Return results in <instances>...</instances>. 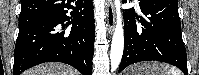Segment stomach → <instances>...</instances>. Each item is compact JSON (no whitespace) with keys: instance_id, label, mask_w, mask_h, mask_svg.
Instances as JSON below:
<instances>
[{"instance_id":"obj_1","label":"stomach","mask_w":199,"mask_h":75,"mask_svg":"<svg viewBox=\"0 0 199 75\" xmlns=\"http://www.w3.org/2000/svg\"><path fill=\"white\" fill-rule=\"evenodd\" d=\"M125 75H162V67L157 63H139L128 68Z\"/></svg>"}]
</instances>
